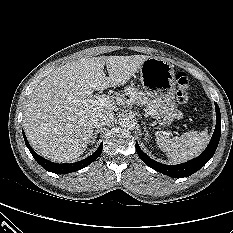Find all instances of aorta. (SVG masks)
Here are the masks:
<instances>
[{
  "label": "aorta",
  "mask_w": 233,
  "mask_h": 233,
  "mask_svg": "<svg viewBox=\"0 0 233 233\" xmlns=\"http://www.w3.org/2000/svg\"><path fill=\"white\" fill-rule=\"evenodd\" d=\"M135 120L132 117H123L120 120V126L127 130H133L135 128Z\"/></svg>",
  "instance_id": "aorta-1"
}]
</instances>
